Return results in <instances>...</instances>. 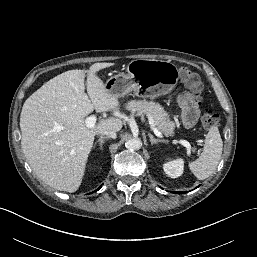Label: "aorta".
<instances>
[{"instance_id":"obj_1","label":"aorta","mask_w":257,"mask_h":257,"mask_svg":"<svg viewBox=\"0 0 257 257\" xmlns=\"http://www.w3.org/2000/svg\"><path fill=\"white\" fill-rule=\"evenodd\" d=\"M142 142L139 138H131L125 142V147L129 150H138L141 148Z\"/></svg>"}]
</instances>
